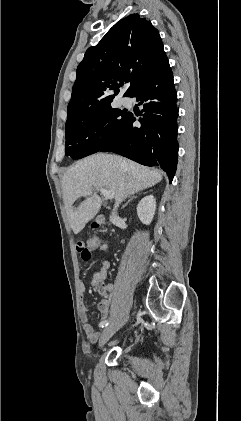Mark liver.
<instances>
[{
	"label": "liver",
	"mask_w": 241,
	"mask_h": 421,
	"mask_svg": "<svg viewBox=\"0 0 241 421\" xmlns=\"http://www.w3.org/2000/svg\"><path fill=\"white\" fill-rule=\"evenodd\" d=\"M161 180L160 170L149 169L117 155L97 153L78 161L62 178L63 201L71 229L78 234L99 212L102 199L94 188L113 191L118 201ZM85 190L87 195H83ZM82 195L85 200L74 207V202Z\"/></svg>",
	"instance_id": "obj_1"
}]
</instances>
